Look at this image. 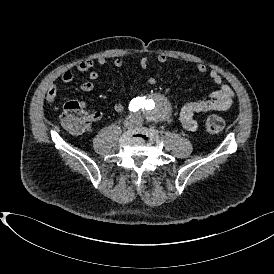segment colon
Returning a JSON list of instances; mask_svg holds the SVG:
<instances>
[{"instance_id": "obj_1", "label": "colon", "mask_w": 274, "mask_h": 274, "mask_svg": "<svg viewBox=\"0 0 274 274\" xmlns=\"http://www.w3.org/2000/svg\"><path fill=\"white\" fill-rule=\"evenodd\" d=\"M63 113L60 121L63 126L74 133H81L85 130L89 115L78 101L66 102L63 106ZM224 120L220 116H211L206 121V131L209 134H219L224 129Z\"/></svg>"}]
</instances>
